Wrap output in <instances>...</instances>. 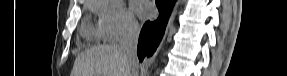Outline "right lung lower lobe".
Returning a JSON list of instances; mask_svg holds the SVG:
<instances>
[{"instance_id":"right-lung-lower-lobe-1","label":"right lung lower lobe","mask_w":287,"mask_h":76,"mask_svg":"<svg viewBox=\"0 0 287 76\" xmlns=\"http://www.w3.org/2000/svg\"><path fill=\"white\" fill-rule=\"evenodd\" d=\"M174 3L175 0H156L159 17L153 22H146L139 36L137 54L140 62L152 56L159 45Z\"/></svg>"}]
</instances>
